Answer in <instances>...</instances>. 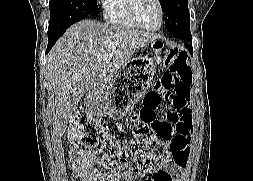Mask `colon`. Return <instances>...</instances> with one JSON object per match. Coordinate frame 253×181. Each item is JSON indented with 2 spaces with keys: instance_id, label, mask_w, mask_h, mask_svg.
<instances>
[{
  "instance_id": "obj_1",
  "label": "colon",
  "mask_w": 253,
  "mask_h": 181,
  "mask_svg": "<svg viewBox=\"0 0 253 181\" xmlns=\"http://www.w3.org/2000/svg\"><path fill=\"white\" fill-rule=\"evenodd\" d=\"M157 60H166L170 72L159 78L154 88L144 99V107L133 118V134L145 145L143 149L132 150L118 142L104 130L90 115L78 113L70 126L71 142L82 152L95 156L106 168L143 174L150 167H163L174 158L175 141L180 130L172 125L191 116L190 86L192 72L187 63V51L179 47H165L163 41H152ZM171 106L165 120L157 118V110L163 102Z\"/></svg>"
}]
</instances>
